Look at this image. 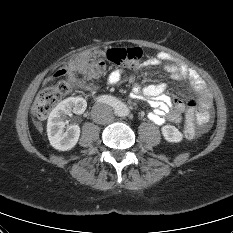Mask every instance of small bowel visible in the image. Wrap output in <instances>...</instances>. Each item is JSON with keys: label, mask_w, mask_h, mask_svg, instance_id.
Returning a JSON list of instances; mask_svg holds the SVG:
<instances>
[{"label": "small bowel", "mask_w": 233, "mask_h": 233, "mask_svg": "<svg viewBox=\"0 0 233 233\" xmlns=\"http://www.w3.org/2000/svg\"><path fill=\"white\" fill-rule=\"evenodd\" d=\"M87 65V58L81 56L75 60V67L78 71H84ZM163 65L171 73L175 80H187L194 91L198 94V107L194 114V126L200 132H205L210 125L212 95L205 82L194 70L187 66L176 63L165 52H159L154 57L146 59L138 66L139 69ZM125 78V72L122 69H115L108 74L107 83L115 85ZM167 85L159 83L141 87L136 84L132 90V96L135 98H146L153 110L148 113V118L157 125H163L166 122L178 123L182 120V115L186 110L185 104L180 99H172L166 94Z\"/></svg>", "instance_id": "c3829d8e"}]
</instances>
